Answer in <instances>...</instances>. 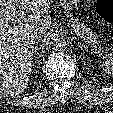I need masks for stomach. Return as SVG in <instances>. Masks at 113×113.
Returning a JSON list of instances; mask_svg holds the SVG:
<instances>
[{"label":"stomach","instance_id":"1","mask_svg":"<svg viewBox=\"0 0 113 113\" xmlns=\"http://www.w3.org/2000/svg\"><path fill=\"white\" fill-rule=\"evenodd\" d=\"M62 7H64L67 10H74L77 8L80 0H59Z\"/></svg>","mask_w":113,"mask_h":113}]
</instances>
